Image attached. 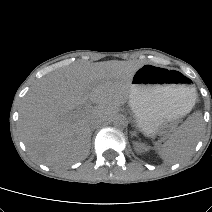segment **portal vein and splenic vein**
<instances>
[{"mask_svg":"<svg viewBox=\"0 0 212 212\" xmlns=\"http://www.w3.org/2000/svg\"><path fill=\"white\" fill-rule=\"evenodd\" d=\"M89 106H87V108H88ZM76 113H80V111H76Z\"/></svg>","mask_w":212,"mask_h":212,"instance_id":"1","label":"portal vein and splenic vein"}]
</instances>
